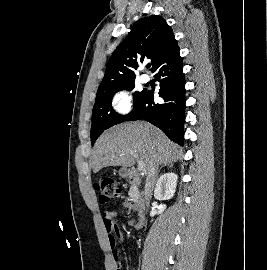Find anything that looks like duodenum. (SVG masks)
<instances>
[{"instance_id":"410a0bca","label":"duodenum","mask_w":267,"mask_h":270,"mask_svg":"<svg viewBox=\"0 0 267 270\" xmlns=\"http://www.w3.org/2000/svg\"><path fill=\"white\" fill-rule=\"evenodd\" d=\"M126 174L130 182H132L133 184L137 186L141 185L142 179L136 170L129 169ZM144 207H145V201L142 197H140L136 203V208L140 213H142Z\"/></svg>"}]
</instances>
